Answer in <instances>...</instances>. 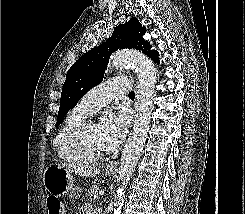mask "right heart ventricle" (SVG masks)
I'll return each mask as SVG.
<instances>
[{
  "mask_svg": "<svg viewBox=\"0 0 245 214\" xmlns=\"http://www.w3.org/2000/svg\"><path fill=\"white\" fill-rule=\"evenodd\" d=\"M88 115L89 113L78 104L67 114L59 128L53 140V148L62 161L72 164L81 162L70 147V138L75 128L86 120Z\"/></svg>",
  "mask_w": 245,
  "mask_h": 214,
  "instance_id": "1",
  "label": "right heart ventricle"
}]
</instances>
